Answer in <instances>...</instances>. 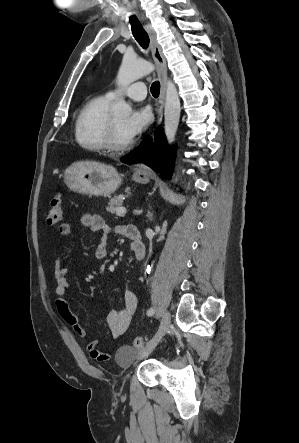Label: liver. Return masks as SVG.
<instances>
[{
    "mask_svg": "<svg viewBox=\"0 0 299 443\" xmlns=\"http://www.w3.org/2000/svg\"><path fill=\"white\" fill-rule=\"evenodd\" d=\"M85 163H87V164H93V165H98L99 163H96V162H85Z\"/></svg>",
    "mask_w": 299,
    "mask_h": 443,
    "instance_id": "obj_1",
    "label": "liver"
}]
</instances>
